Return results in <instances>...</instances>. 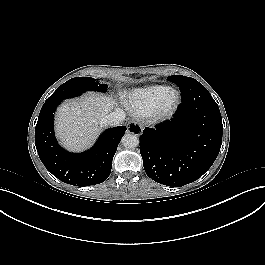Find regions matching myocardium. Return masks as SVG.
I'll use <instances>...</instances> for the list:
<instances>
[{
	"label": "myocardium",
	"instance_id": "obj_1",
	"mask_svg": "<svg viewBox=\"0 0 265 265\" xmlns=\"http://www.w3.org/2000/svg\"><path fill=\"white\" fill-rule=\"evenodd\" d=\"M181 102V95L175 89H169L153 107L149 117L154 121L169 119L178 109Z\"/></svg>",
	"mask_w": 265,
	"mask_h": 265
}]
</instances>
